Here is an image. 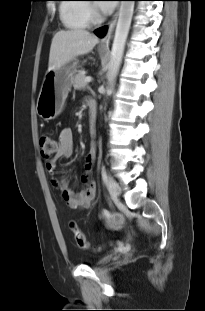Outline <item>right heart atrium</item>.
<instances>
[{
    "label": "right heart atrium",
    "instance_id": "obj_1",
    "mask_svg": "<svg viewBox=\"0 0 205 311\" xmlns=\"http://www.w3.org/2000/svg\"><path fill=\"white\" fill-rule=\"evenodd\" d=\"M90 10V15L91 16H96L97 15V11L95 7H89Z\"/></svg>",
    "mask_w": 205,
    "mask_h": 311
}]
</instances>
